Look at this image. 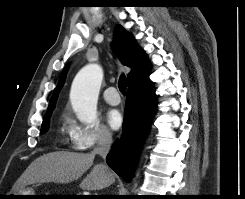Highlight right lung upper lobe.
Wrapping results in <instances>:
<instances>
[{
	"label": "right lung upper lobe",
	"instance_id": "cb5924a9",
	"mask_svg": "<svg viewBox=\"0 0 245 199\" xmlns=\"http://www.w3.org/2000/svg\"><path fill=\"white\" fill-rule=\"evenodd\" d=\"M114 39L117 55L123 65L131 67L132 70L128 74V88L143 87L151 83L149 79L150 63L145 52L139 47L133 36L127 32L121 25H116L114 30ZM68 65L63 69L58 84L53 91L48 110L45 116L52 113L59 92L61 91ZM44 116V117H45Z\"/></svg>",
	"mask_w": 245,
	"mask_h": 199
}]
</instances>
